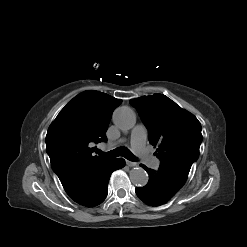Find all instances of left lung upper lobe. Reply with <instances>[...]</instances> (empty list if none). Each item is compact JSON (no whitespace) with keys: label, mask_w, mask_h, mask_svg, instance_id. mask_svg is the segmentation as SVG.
<instances>
[{"label":"left lung upper lobe","mask_w":247,"mask_h":247,"mask_svg":"<svg viewBox=\"0 0 247 247\" xmlns=\"http://www.w3.org/2000/svg\"><path fill=\"white\" fill-rule=\"evenodd\" d=\"M149 131V141L157 147L160 169L184 185L190 168L198 159L202 142L197 118L162 94L130 100Z\"/></svg>","instance_id":"left-lung-upper-lobe-1"}]
</instances>
